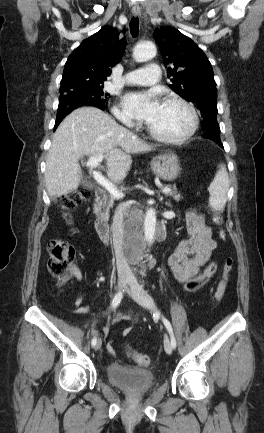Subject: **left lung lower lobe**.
Returning <instances> with one entry per match:
<instances>
[{"mask_svg":"<svg viewBox=\"0 0 264 433\" xmlns=\"http://www.w3.org/2000/svg\"><path fill=\"white\" fill-rule=\"evenodd\" d=\"M216 125H219V124H218L217 119H216L215 117H206V118H203V124H202V127L210 128V127H213V126H216ZM215 142H216L220 147L223 148V144H222L221 141H215Z\"/></svg>","mask_w":264,"mask_h":433,"instance_id":"left-lung-lower-lobe-1","label":"left lung lower lobe"}]
</instances>
